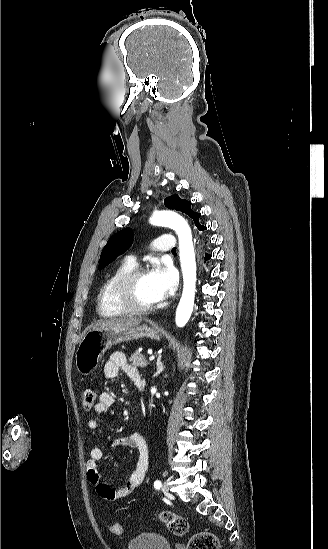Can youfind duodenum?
<instances>
[{"label":"duodenum","instance_id":"obj_1","mask_svg":"<svg viewBox=\"0 0 328 549\" xmlns=\"http://www.w3.org/2000/svg\"><path fill=\"white\" fill-rule=\"evenodd\" d=\"M133 383L135 384V386L141 390V391H144L145 390V385H144V382L143 380L141 379L140 376H136L134 379H133Z\"/></svg>","mask_w":328,"mask_h":549}]
</instances>
